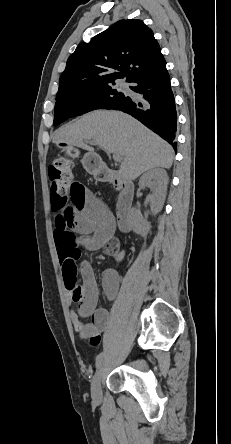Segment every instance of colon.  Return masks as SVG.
Masks as SVG:
<instances>
[{"mask_svg":"<svg viewBox=\"0 0 231 444\" xmlns=\"http://www.w3.org/2000/svg\"><path fill=\"white\" fill-rule=\"evenodd\" d=\"M52 197L57 200L66 199L72 191L75 179L71 170V163L65 158H58L53 161L49 168ZM117 186L116 184H114ZM118 187V186H117ZM82 294V287L78 286L76 295Z\"/></svg>","mask_w":231,"mask_h":444,"instance_id":"colon-1","label":"colon"}]
</instances>
